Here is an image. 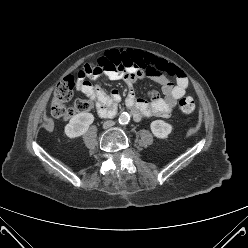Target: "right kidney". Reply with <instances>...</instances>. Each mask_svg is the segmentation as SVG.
I'll list each match as a JSON object with an SVG mask.
<instances>
[{
    "label": "right kidney",
    "instance_id": "ca27d5eb",
    "mask_svg": "<svg viewBox=\"0 0 248 248\" xmlns=\"http://www.w3.org/2000/svg\"><path fill=\"white\" fill-rule=\"evenodd\" d=\"M94 116L91 113L81 112L72 116L69 123L65 126V134L69 138H75L83 135L93 123Z\"/></svg>",
    "mask_w": 248,
    "mask_h": 248
}]
</instances>
